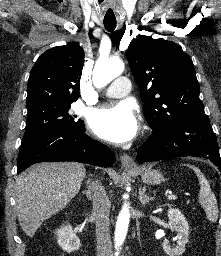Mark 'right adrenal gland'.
<instances>
[{
    "label": "right adrenal gland",
    "mask_w": 221,
    "mask_h": 256,
    "mask_svg": "<svg viewBox=\"0 0 221 256\" xmlns=\"http://www.w3.org/2000/svg\"><path fill=\"white\" fill-rule=\"evenodd\" d=\"M82 193H83L84 195H86V197H87L88 200L91 199V192H90V190H84V191H82Z\"/></svg>",
    "instance_id": "1"
}]
</instances>
